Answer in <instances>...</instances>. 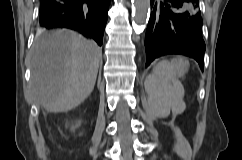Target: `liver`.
I'll return each instance as SVG.
<instances>
[{
  "label": "liver",
  "instance_id": "obj_1",
  "mask_svg": "<svg viewBox=\"0 0 242 160\" xmlns=\"http://www.w3.org/2000/svg\"><path fill=\"white\" fill-rule=\"evenodd\" d=\"M30 91L52 113L67 112L93 91L102 50L68 30L38 35L31 50Z\"/></svg>",
  "mask_w": 242,
  "mask_h": 160
}]
</instances>
